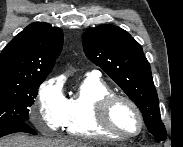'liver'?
<instances>
[{
    "label": "liver",
    "instance_id": "6515ba94",
    "mask_svg": "<svg viewBox=\"0 0 183 147\" xmlns=\"http://www.w3.org/2000/svg\"><path fill=\"white\" fill-rule=\"evenodd\" d=\"M94 143H86L73 139L34 138L22 134L9 136L0 140V147H93Z\"/></svg>",
    "mask_w": 183,
    "mask_h": 147
}]
</instances>
